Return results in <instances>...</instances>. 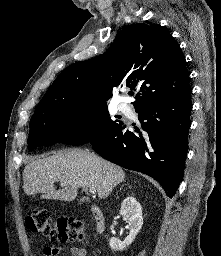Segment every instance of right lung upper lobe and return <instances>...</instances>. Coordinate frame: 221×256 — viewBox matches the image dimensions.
I'll return each mask as SVG.
<instances>
[{"mask_svg": "<svg viewBox=\"0 0 221 256\" xmlns=\"http://www.w3.org/2000/svg\"><path fill=\"white\" fill-rule=\"evenodd\" d=\"M121 83L140 93L135 110L151 100L190 93L186 60L167 29L158 24L128 26L102 55L65 68L39 102L35 112L57 101L64 105L106 103Z\"/></svg>", "mask_w": 221, "mask_h": 256, "instance_id": "1", "label": "right lung upper lobe"}]
</instances>
